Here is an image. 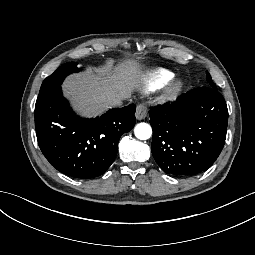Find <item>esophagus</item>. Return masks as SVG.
<instances>
[{
  "label": "esophagus",
  "instance_id": "34e87169",
  "mask_svg": "<svg viewBox=\"0 0 255 255\" xmlns=\"http://www.w3.org/2000/svg\"><path fill=\"white\" fill-rule=\"evenodd\" d=\"M148 108L145 104H139L136 108L135 116L138 120H142L147 116Z\"/></svg>",
  "mask_w": 255,
  "mask_h": 255
}]
</instances>
